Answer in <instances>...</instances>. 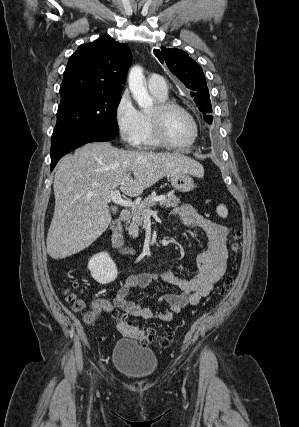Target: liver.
<instances>
[{"label": "liver", "instance_id": "obj_1", "mask_svg": "<svg viewBox=\"0 0 299 427\" xmlns=\"http://www.w3.org/2000/svg\"><path fill=\"white\" fill-rule=\"evenodd\" d=\"M176 172L204 175L199 162L179 153L122 150L108 142L88 143L63 157L54 177L48 254L63 259L90 246L111 223L108 200L117 188L135 197Z\"/></svg>", "mask_w": 299, "mask_h": 427}]
</instances>
